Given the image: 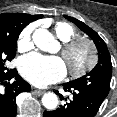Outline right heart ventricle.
I'll use <instances>...</instances> for the list:
<instances>
[{
    "instance_id": "obj_1",
    "label": "right heart ventricle",
    "mask_w": 117,
    "mask_h": 117,
    "mask_svg": "<svg viewBox=\"0 0 117 117\" xmlns=\"http://www.w3.org/2000/svg\"><path fill=\"white\" fill-rule=\"evenodd\" d=\"M56 36L63 42H66L77 36V30L67 22L59 21L53 27Z\"/></svg>"
}]
</instances>
